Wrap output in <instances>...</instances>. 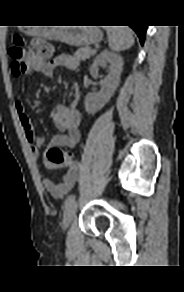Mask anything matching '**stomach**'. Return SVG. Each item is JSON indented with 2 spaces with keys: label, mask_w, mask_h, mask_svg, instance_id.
<instances>
[{
  "label": "stomach",
  "mask_w": 184,
  "mask_h": 292,
  "mask_svg": "<svg viewBox=\"0 0 184 292\" xmlns=\"http://www.w3.org/2000/svg\"><path fill=\"white\" fill-rule=\"evenodd\" d=\"M23 30L30 33L29 29ZM45 37L69 45L88 46L101 41L103 33L98 27H61L48 31Z\"/></svg>",
  "instance_id": "0dacf381"
}]
</instances>
